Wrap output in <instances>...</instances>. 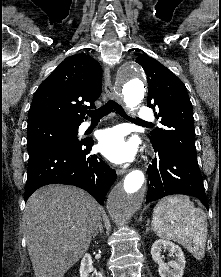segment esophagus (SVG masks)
<instances>
[{"instance_id": "obj_1", "label": "esophagus", "mask_w": 221, "mask_h": 277, "mask_svg": "<svg viewBox=\"0 0 221 277\" xmlns=\"http://www.w3.org/2000/svg\"><path fill=\"white\" fill-rule=\"evenodd\" d=\"M104 83H105V91H106L107 95L111 99H114L115 101H117L119 103H122V96L119 93H117L113 88L109 66H106L104 69ZM116 173H117V175H122V174L126 173V170L125 169H117Z\"/></svg>"}]
</instances>
